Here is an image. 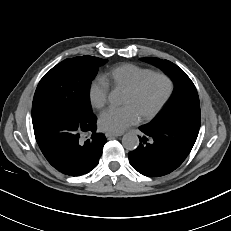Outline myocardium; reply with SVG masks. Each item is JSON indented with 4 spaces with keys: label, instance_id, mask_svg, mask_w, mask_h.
Returning a JSON list of instances; mask_svg holds the SVG:
<instances>
[{
    "label": "myocardium",
    "instance_id": "obj_1",
    "mask_svg": "<svg viewBox=\"0 0 231 231\" xmlns=\"http://www.w3.org/2000/svg\"><path fill=\"white\" fill-rule=\"evenodd\" d=\"M153 77H163L164 79H166V81L168 82V90L166 95L164 96V98L162 99V101L150 112L142 115L140 117L141 120L143 121H147L152 119L153 117H155L163 108L164 106L168 103V101L170 100L173 92H174V81L171 78L170 75H168L165 72H161V71H153L149 74H147L146 76L142 77L140 80H138L133 86H131L129 89L126 90V92L130 93V94H136L137 92H139L141 90V88L144 86V84L151 78Z\"/></svg>",
    "mask_w": 231,
    "mask_h": 231
}]
</instances>
